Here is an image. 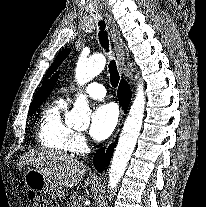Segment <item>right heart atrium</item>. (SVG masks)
<instances>
[{
	"label": "right heart atrium",
	"mask_w": 206,
	"mask_h": 207,
	"mask_svg": "<svg viewBox=\"0 0 206 207\" xmlns=\"http://www.w3.org/2000/svg\"><path fill=\"white\" fill-rule=\"evenodd\" d=\"M75 151L82 152L87 148V140L83 133L76 132L74 136Z\"/></svg>",
	"instance_id": "obj_1"
}]
</instances>
